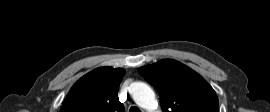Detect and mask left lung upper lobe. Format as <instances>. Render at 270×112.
<instances>
[{"label": "left lung upper lobe", "instance_id": "left-lung-upper-lobe-1", "mask_svg": "<svg viewBox=\"0 0 270 112\" xmlns=\"http://www.w3.org/2000/svg\"><path fill=\"white\" fill-rule=\"evenodd\" d=\"M160 95L163 112H219L209 83L186 65L171 59L139 68Z\"/></svg>", "mask_w": 270, "mask_h": 112}]
</instances>
